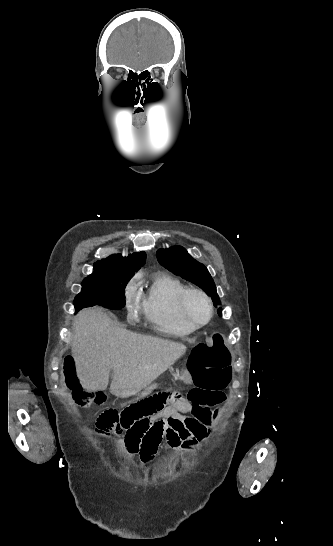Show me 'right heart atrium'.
<instances>
[{
	"label": "right heart atrium",
	"instance_id": "right-heart-atrium-1",
	"mask_svg": "<svg viewBox=\"0 0 333 546\" xmlns=\"http://www.w3.org/2000/svg\"><path fill=\"white\" fill-rule=\"evenodd\" d=\"M133 291H134V283L131 282L126 289V304L129 311L132 310L131 300L133 296Z\"/></svg>",
	"mask_w": 333,
	"mask_h": 546
}]
</instances>
